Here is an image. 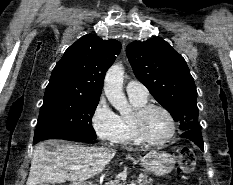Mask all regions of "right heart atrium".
<instances>
[{"label":"right heart atrium","instance_id":"obj_1","mask_svg":"<svg viewBox=\"0 0 233 185\" xmlns=\"http://www.w3.org/2000/svg\"><path fill=\"white\" fill-rule=\"evenodd\" d=\"M92 129L97 138L106 144L118 142L121 134L119 115L108 104L106 98L101 96L96 102L90 117Z\"/></svg>","mask_w":233,"mask_h":185}]
</instances>
